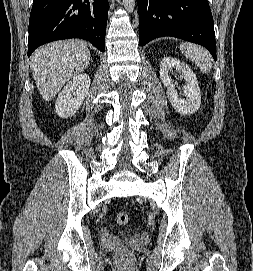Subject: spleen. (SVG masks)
Wrapping results in <instances>:
<instances>
[{"instance_id":"1","label":"spleen","mask_w":253,"mask_h":271,"mask_svg":"<svg viewBox=\"0 0 253 271\" xmlns=\"http://www.w3.org/2000/svg\"><path fill=\"white\" fill-rule=\"evenodd\" d=\"M180 50L184 53L186 58L195 62L202 72H210L212 59L205 49L195 44L185 42L180 44Z\"/></svg>"}]
</instances>
